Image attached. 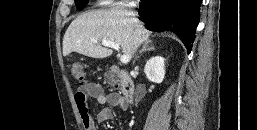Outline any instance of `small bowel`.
<instances>
[{
    "label": "small bowel",
    "mask_w": 257,
    "mask_h": 130,
    "mask_svg": "<svg viewBox=\"0 0 257 130\" xmlns=\"http://www.w3.org/2000/svg\"><path fill=\"white\" fill-rule=\"evenodd\" d=\"M90 98L103 107L96 114L95 119L90 115L88 100ZM75 103L85 130H97L96 123L105 122L113 117L112 107L122 111L127 109V102L124 97L116 92L106 94L103 87L98 83H85L81 85L74 95Z\"/></svg>",
    "instance_id": "small-bowel-1"
}]
</instances>
